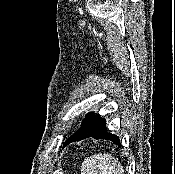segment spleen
Listing matches in <instances>:
<instances>
[{
  "label": "spleen",
  "mask_w": 175,
  "mask_h": 174,
  "mask_svg": "<svg viewBox=\"0 0 175 174\" xmlns=\"http://www.w3.org/2000/svg\"><path fill=\"white\" fill-rule=\"evenodd\" d=\"M81 174H124V169L111 154L99 153L84 159Z\"/></svg>",
  "instance_id": "1"
}]
</instances>
